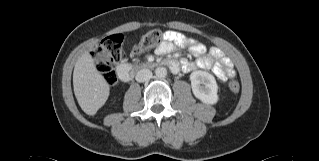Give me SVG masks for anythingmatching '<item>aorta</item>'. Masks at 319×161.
<instances>
[{"mask_svg":"<svg viewBox=\"0 0 319 161\" xmlns=\"http://www.w3.org/2000/svg\"><path fill=\"white\" fill-rule=\"evenodd\" d=\"M155 75L158 78H164L167 75V70L165 67H158L155 69Z\"/></svg>","mask_w":319,"mask_h":161,"instance_id":"aorta-1","label":"aorta"}]
</instances>
